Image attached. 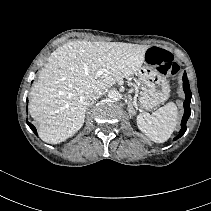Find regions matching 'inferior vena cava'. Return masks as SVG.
I'll return each instance as SVG.
<instances>
[{"label":"inferior vena cava","mask_w":211,"mask_h":211,"mask_svg":"<svg viewBox=\"0 0 211 211\" xmlns=\"http://www.w3.org/2000/svg\"><path fill=\"white\" fill-rule=\"evenodd\" d=\"M103 93H104V91H102V90L95 91L92 95V99L96 100V99L100 98L103 95Z\"/></svg>","instance_id":"1"}]
</instances>
